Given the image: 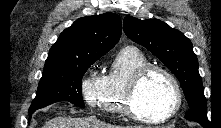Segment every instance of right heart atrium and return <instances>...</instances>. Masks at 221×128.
Instances as JSON below:
<instances>
[{
	"mask_svg": "<svg viewBox=\"0 0 221 128\" xmlns=\"http://www.w3.org/2000/svg\"><path fill=\"white\" fill-rule=\"evenodd\" d=\"M103 82L104 77L93 67L87 70L82 83V95L90 106H95L97 104Z\"/></svg>",
	"mask_w": 221,
	"mask_h": 128,
	"instance_id": "right-heart-atrium-1",
	"label": "right heart atrium"
}]
</instances>
